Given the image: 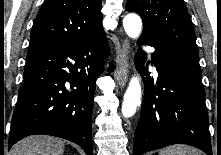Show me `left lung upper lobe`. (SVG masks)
Masks as SVG:
<instances>
[{
  "label": "left lung upper lobe",
  "mask_w": 221,
  "mask_h": 155,
  "mask_svg": "<svg viewBox=\"0 0 221 155\" xmlns=\"http://www.w3.org/2000/svg\"><path fill=\"white\" fill-rule=\"evenodd\" d=\"M126 9L141 16V37L198 53L194 29L182 0H128Z\"/></svg>",
  "instance_id": "left-lung-upper-lobe-1"
}]
</instances>
